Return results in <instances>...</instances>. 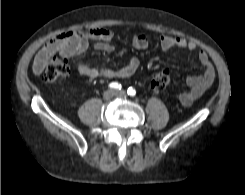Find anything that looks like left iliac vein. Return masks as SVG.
I'll return each mask as SVG.
<instances>
[{
	"mask_svg": "<svg viewBox=\"0 0 245 195\" xmlns=\"http://www.w3.org/2000/svg\"><path fill=\"white\" fill-rule=\"evenodd\" d=\"M125 92L124 91H122V90H117V91H115V95L116 96H120V97H123V96H125Z\"/></svg>",
	"mask_w": 245,
	"mask_h": 195,
	"instance_id": "4c4485c4",
	"label": "left iliac vein"
}]
</instances>
